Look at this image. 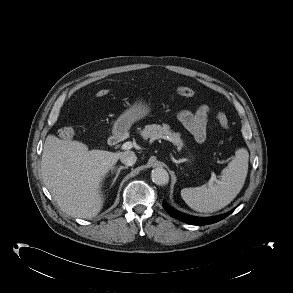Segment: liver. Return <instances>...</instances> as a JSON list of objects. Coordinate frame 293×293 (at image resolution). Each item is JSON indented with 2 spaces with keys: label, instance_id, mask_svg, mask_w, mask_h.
<instances>
[{
  "label": "liver",
  "instance_id": "obj_1",
  "mask_svg": "<svg viewBox=\"0 0 293 293\" xmlns=\"http://www.w3.org/2000/svg\"><path fill=\"white\" fill-rule=\"evenodd\" d=\"M120 155L48 135L41 159L44 184L63 212L90 219L103 207L102 183Z\"/></svg>",
  "mask_w": 293,
  "mask_h": 293
}]
</instances>
